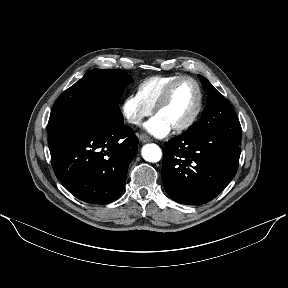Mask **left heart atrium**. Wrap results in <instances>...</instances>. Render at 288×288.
<instances>
[{"label": "left heart atrium", "instance_id": "obj_1", "mask_svg": "<svg viewBox=\"0 0 288 288\" xmlns=\"http://www.w3.org/2000/svg\"><path fill=\"white\" fill-rule=\"evenodd\" d=\"M145 127L150 133L158 137L167 135L171 129V126L158 115L150 119Z\"/></svg>", "mask_w": 288, "mask_h": 288}]
</instances>
